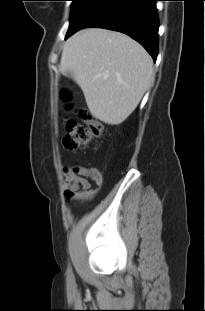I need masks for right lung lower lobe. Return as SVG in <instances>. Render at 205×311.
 Wrapping results in <instances>:
<instances>
[{
    "instance_id": "1",
    "label": "right lung lower lobe",
    "mask_w": 205,
    "mask_h": 311,
    "mask_svg": "<svg viewBox=\"0 0 205 311\" xmlns=\"http://www.w3.org/2000/svg\"><path fill=\"white\" fill-rule=\"evenodd\" d=\"M158 0H90L67 32L66 39L86 27L123 32L139 43L156 61L158 55Z\"/></svg>"
}]
</instances>
